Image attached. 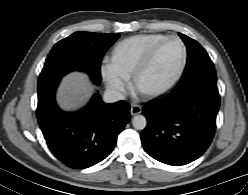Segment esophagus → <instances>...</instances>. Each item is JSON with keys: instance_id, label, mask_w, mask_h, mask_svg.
Segmentation results:
<instances>
[{"instance_id": "esophagus-1", "label": "esophagus", "mask_w": 248, "mask_h": 195, "mask_svg": "<svg viewBox=\"0 0 248 195\" xmlns=\"http://www.w3.org/2000/svg\"><path fill=\"white\" fill-rule=\"evenodd\" d=\"M142 111V107L138 104H131V107H130V113L131 115H137V114H140Z\"/></svg>"}]
</instances>
